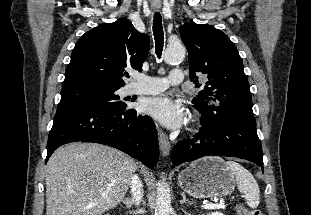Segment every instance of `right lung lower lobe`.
I'll list each match as a JSON object with an SVG mask.
<instances>
[{"label": "right lung lower lobe", "instance_id": "obj_1", "mask_svg": "<svg viewBox=\"0 0 311 215\" xmlns=\"http://www.w3.org/2000/svg\"><path fill=\"white\" fill-rule=\"evenodd\" d=\"M96 142L117 148L154 167L159 160L157 131L153 120L134 109L103 110L87 106L59 108L49 133L48 161L59 146L70 142Z\"/></svg>", "mask_w": 311, "mask_h": 215}]
</instances>
